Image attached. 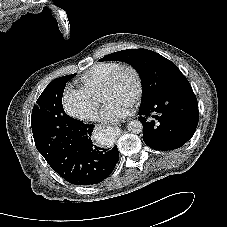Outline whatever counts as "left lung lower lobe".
Masks as SVG:
<instances>
[{"mask_svg": "<svg viewBox=\"0 0 227 227\" xmlns=\"http://www.w3.org/2000/svg\"><path fill=\"white\" fill-rule=\"evenodd\" d=\"M138 114L144 128L143 140L156 150L181 147L193 136L198 124V104L192 89L141 104Z\"/></svg>", "mask_w": 227, "mask_h": 227, "instance_id": "left-lung-lower-lobe-1", "label": "left lung lower lobe"}]
</instances>
